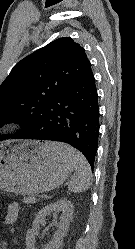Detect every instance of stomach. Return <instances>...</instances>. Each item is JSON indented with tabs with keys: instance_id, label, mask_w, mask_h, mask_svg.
<instances>
[{
	"instance_id": "stomach-1",
	"label": "stomach",
	"mask_w": 135,
	"mask_h": 249,
	"mask_svg": "<svg viewBox=\"0 0 135 249\" xmlns=\"http://www.w3.org/2000/svg\"><path fill=\"white\" fill-rule=\"evenodd\" d=\"M56 142L11 141L0 145V190L34 195L60 186L73 171Z\"/></svg>"
}]
</instances>
